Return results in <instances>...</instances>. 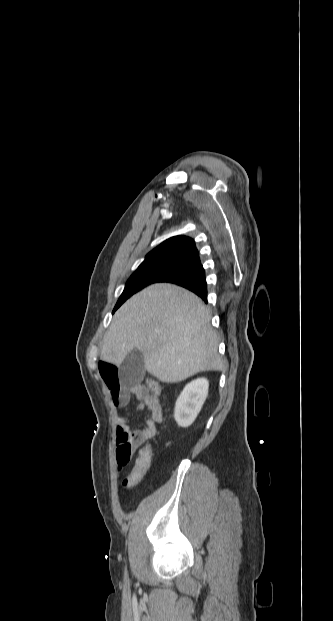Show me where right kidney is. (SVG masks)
<instances>
[{
	"label": "right kidney",
	"instance_id": "obj_1",
	"mask_svg": "<svg viewBox=\"0 0 333 621\" xmlns=\"http://www.w3.org/2000/svg\"><path fill=\"white\" fill-rule=\"evenodd\" d=\"M208 387L205 378H198L185 386L175 404L174 418L179 426L188 427L194 422L207 398Z\"/></svg>",
	"mask_w": 333,
	"mask_h": 621
}]
</instances>
